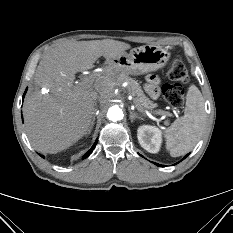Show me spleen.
Wrapping results in <instances>:
<instances>
[{
	"mask_svg": "<svg viewBox=\"0 0 233 233\" xmlns=\"http://www.w3.org/2000/svg\"><path fill=\"white\" fill-rule=\"evenodd\" d=\"M206 123L204 99L199 89L192 85L186 97L184 115L165 130L166 149L172 157L189 152L199 141Z\"/></svg>",
	"mask_w": 233,
	"mask_h": 233,
	"instance_id": "spleen-1",
	"label": "spleen"
}]
</instances>
